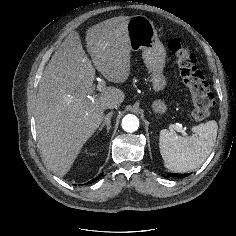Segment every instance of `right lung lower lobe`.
I'll return each mask as SVG.
<instances>
[{
	"label": "right lung lower lobe",
	"mask_w": 236,
	"mask_h": 236,
	"mask_svg": "<svg viewBox=\"0 0 236 236\" xmlns=\"http://www.w3.org/2000/svg\"><path fill=\"white\" fill-rule=\"evenodd\" d=\"M99 177H97V178H94L93 180H91L89 183H92V182H94L95 180H97Z\"/></svg>",
	"instance_id": "98d812e1"
}]
</instances>
